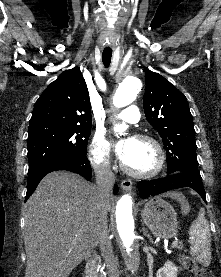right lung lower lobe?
Instances as JSON below:
<instances>
[{
    "label": "right lung lower lobe",
    "instance_id": "98d812e1",
    "mask_svg": "<svg viewBox=\"0 0 221 277\" xmlns=\"http://www.w3.org/2000/svg\"><path fill=\"white\" fill-rule=\"evenodd\" d=\"M57 170H67L80 174L87 180L92 178V169L86 156H73L61 161L53 162L41 166L36 171L28 174L27 194L25 201L34 192L41 179L48 173ZM118 187L114 188V194L117 193Z\"/></svg>",
    "mask_w": 221,
    "mask_h": 277
}]
</instances>
